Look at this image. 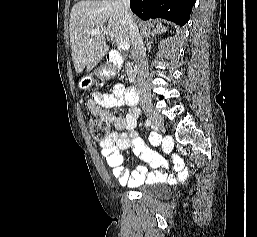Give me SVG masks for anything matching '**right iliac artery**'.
<instances>
[{"label": "right iliac artery", "instance_id": "obj_1", "mask_svg": "<svg viewBox=\"0 0 257 237\" xmlns=\"http://www.w3.org/2000/svg\"><path fill=\"white\" fill-rule=\"evenodd\" d=\"M146 125L149 127L151 125V122L149 120H146ZM154 136H158L156 133H153Z\"/></svg>", "mask_w": 257, "mask_h": 237}]
</instances>
